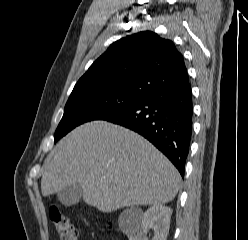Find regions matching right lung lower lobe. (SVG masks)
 <instances>
[{
	"label": "right lung lower lobe",
	"mask_w": 248,
	"mask_h": 240,
	"mask_svg": "<svg viewBox=\"0 0 248 240\" xmlns=\"http://www.w3.org/2000/svg\"><path fill=\"white\" fill-rule=\"evenodd\" d=\"M189 79L152 92L102 120L129 128L148 139L175 165L181 176L192 135Z\"/></svg>",
	"instance_id": "obj_1"
}]
</instances>
